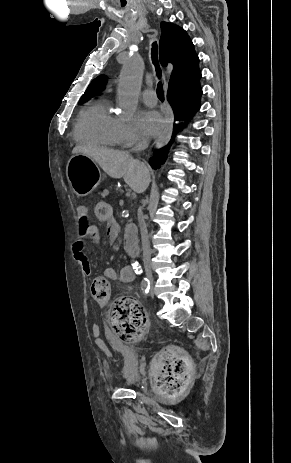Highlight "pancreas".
I'll list each match as a JSON object with an SVG mask.
<instances>
[{
  "label": "pancreas",
  "mask_w": 291,
  "mask_h": 463,
  "mask_svg": "<svg viewBox=\"0 0 291 463\" xmlns=\"http://www.w3.org/2000/svg\"><path fill=\"white\" fill-rule=\"evenodd\" d=\"M109 190L114 193L115 196H120L123 193V190L119 186L113 184L109 186Z\"/></svg>",
  "instance_id": "pancreas-1"
}]
</instances>
